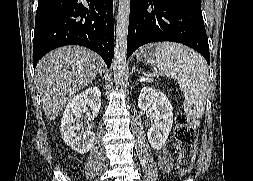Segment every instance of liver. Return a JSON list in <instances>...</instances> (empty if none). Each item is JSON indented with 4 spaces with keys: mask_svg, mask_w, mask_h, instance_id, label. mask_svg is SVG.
<instances>
[{
    "mask_svg": "<svg viewBox=\"0 0 253 181\" xmlns=\"http://www.w3.org/2000/svg\"><path fill=\"white\" fill-rule=\"evenodd\" d=\"M102 59L81 46H65L48 53L36 66L35 82L48 120H54L74 95L101 70Z\"/></svg>",
    "mask_w": 253,
    "mask_h": 181,
    "instance_id": "1",
    "label": "liver"
}]
</instances>
